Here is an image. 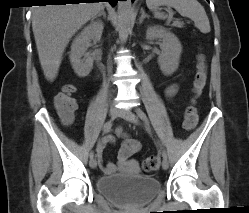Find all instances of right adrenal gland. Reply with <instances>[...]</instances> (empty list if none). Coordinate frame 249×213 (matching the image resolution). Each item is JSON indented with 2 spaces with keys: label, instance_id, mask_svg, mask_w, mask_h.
<instances>
[{
  "label": "right adrenal gland",
  "instance_id": "1",
  "mask_svg": "<svg viewBox=\"0 0 249 213\" xmlns=\"http://www.w3.org/2000/svg\"><path fill=\"white\" fill-rule=\"evenodd\" d=\"M101 15H103L104 18L106 17V13H105L104 9L96 17H94L93 20L97 17H100Z\"/></svg>",
  "mask_w": 249,
  "mask_h": 213
}]
</instances>
